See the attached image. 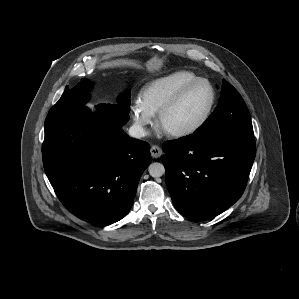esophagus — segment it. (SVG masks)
Segmentation results:
<instances>
[{
    "instance_id": "esophagus-1",
    "label": "esophagus",
    "mask_w": 299,
    "mask_h": 299,
    "mask_svg": "<svg viewBox=\"0 0 299 299\" xmlns=\"http://www.w3.org/2000/svg\"><path fill=\"white\" fill-rule=\"evenodd\" d=\"M150 153L153 158H159L162 155V149L158 145H153Z\"/></svg>"
}]
</instances>
